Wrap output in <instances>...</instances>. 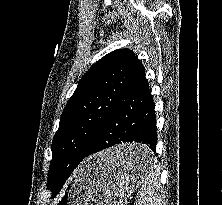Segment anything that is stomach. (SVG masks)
I'll return each mask as SVG.
<instances>
[{
    "label": "stomach",
    "instance_id": "obj_1",
    "mask_svg": "<svg viewBox=\"0 0 222 205\" xmlns=\"http://www.w3.org/2000/svg\"><path fill=\"white\" fill-rule=\"evenodd\" d=\"M135 150H148V147L122 144L86 159L55 205H122L144 181L152 164V159L145 165L120 161L121 154Z\"/></svg>",
    "mask_w": 222,
    "mask_h": 205
}]
</instances>
